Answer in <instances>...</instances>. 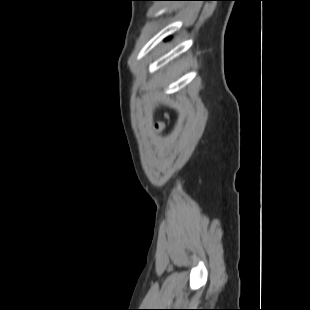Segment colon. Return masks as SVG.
Instances as JSON below:
<instances>
[{
	"label": "colon",
	"instance_id": "colon-1",
	"mask_svg": "<svg viewBox=\"0 0 310 310\" xmlns=\"http://www.w3.org/2000/svg\"><path fill=\"white\" fill-rule=\"evenodd\" d=\"M165 128V121L164 120H160L154 123V129L156 131H163Z\"/></svg>",
	"mask_w": 310,
	"mask_h": 310
}]
</instances>
